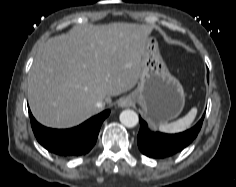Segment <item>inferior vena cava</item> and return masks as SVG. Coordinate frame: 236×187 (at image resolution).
I'll return each mask as SVG.
<instances>
[{
	"label": "inferior vena cava",
	"instance_id": "obj_1",
	"mask_svg": "<svg viewBox=\"0 0 236 187\" xmlns=\"http://www.w3.org/2000/svg\"><path fill=\"white\" fill-rule=\"evenodd\" d=\"M104 106H105V102H104V101H98V102L96 103V107H97L99 110H101L102 108H104Z\"/></svg>",
	"mask_w": 236,
	"mask_h": 187
}]
</instances>
